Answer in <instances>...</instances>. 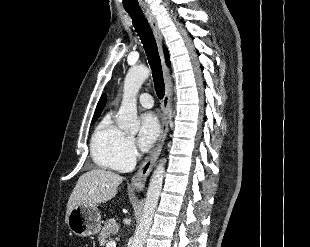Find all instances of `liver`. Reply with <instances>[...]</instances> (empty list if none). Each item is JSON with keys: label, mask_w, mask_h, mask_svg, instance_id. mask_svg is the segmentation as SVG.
<instances>
[{"label": "liver", "mask_w": 310, "mask_h": 247, "mask_svg": "<svg viewBox=\"0 0 310 247\" xmlns=\"http://www.w3.org/2000/svg\"><path fill=\"white\" fill-rule=\"evenodd\" d=\"M122 181L123 177L119 174L103 169H92L82 174L69 197L66 221L75 206L96 205L111 200Z\"/></svg>", "instance_id": "6515ba94"}]
</instances>
